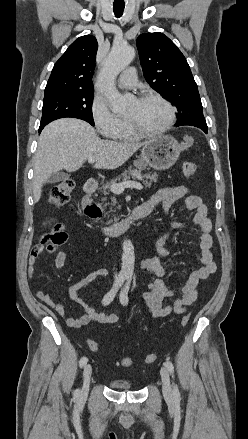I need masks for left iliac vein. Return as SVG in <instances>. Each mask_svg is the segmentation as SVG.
<instances>
[{
    "mask_svg": "<svg viewBox=\"0 0 248 439\" xmlns=\"http://www.w3.org/2000/svg\"><path fill=\"white\" fill-rule=\"evenodd\" d=\"M161 381H162V391L166 399L171 400L173 397L172 385L170 382V376L165 367H161L160 370Z\"/></svg>",
    "mask_w": 248,
    "mask_h": 439,
    "instance_id": "1",
    "label": "left iliac vein"
}]
</instances>
